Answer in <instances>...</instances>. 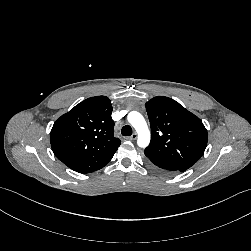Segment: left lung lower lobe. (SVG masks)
Listing matches in <instances>:
<instances>
[{"mask_svg":"<svg viewBox=\"0 0 251 251\" xmlns=\"http://www.w3.org/2000/svg\"><path fill=\"white\" fill-rule=\"evenodd\" d=\"M149 165L156 171H159L161 173H172V172H176L177 170L171 168V167H168V166H163V165H154L152 163L149 162Z\"/></svg>","mask_w":251,"mask_h":251,"instance_id":"1","label":"left lung lower lobe"}]
</instances>
